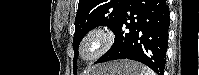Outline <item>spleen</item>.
Returning a JSON list of instances; mask_svg holds the SVG:
<instances>
[{
    "label": "spleen",
    "mask_w": 199,
    "mask_h": 75,
    "mask_svg": "<svg viewBox=\"0 0 199 75\" xmlns=\"http://www.w3.org/2000/svg\"><path fill=\"white\" fill-rule=\"evenodd\" d=\"M141 75H155V74L150 68L142 67Z\"/></svg>",
    "instance_id": "3e777b00"
}]
</instances>
